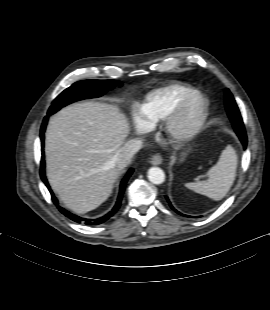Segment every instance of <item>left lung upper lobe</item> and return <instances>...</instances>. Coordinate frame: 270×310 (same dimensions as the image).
Segmentation results:
<instances>
[{
    "mask_svg": "<svg viewBox=\"0 0 270 310\" xmlns=\"http://www.w3.org/2000/svg\"><path fill=\"white\" fill-rule=\"evenodd\" d=\"M225 106L227 114L232 122L235 132L237 134L245 132L244 124L239 109L231 92L228 89H226L225 91Z\"/></svg>",
    "mask_w": 270,
    "mask_h": 310,
    "instance_id": "1",
    "label": "left lung upper lobe"
}]
</instances>
